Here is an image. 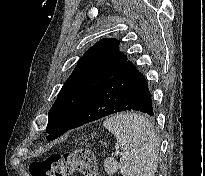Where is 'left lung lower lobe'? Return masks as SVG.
Instances as JSON below:
<instances>
[{"instance_id": "1", "label": "left lung lower lobe", "mask_w": 205, "mask_h": 176, "mask_svg": "<svg viewBox=\"0 0 205 176\" xmlns=\"http://www.w3.org/2000/svg\"><path fill=\"white\" fill-rule=\"evenodd\" d=\"M126 110L154 115L147 81L130 61H126L80 107L68 130Z\"/></svg>"}]
</instances>
